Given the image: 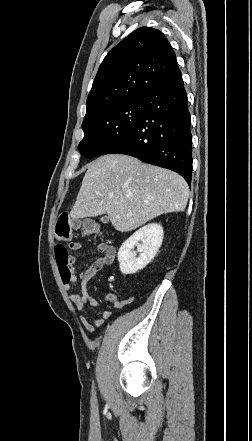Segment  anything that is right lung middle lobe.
Wrapping results in <instances>:
<instances>
[{
    "label": "right lung middle lobe",
    "instance_id": "obj_1",
    "mask_svg": "<svg viewBox=\"0 0 252 441\" xmlns=\"http://www.w3.org/2000/svg\"><path fill=\"white\" fill-rule=\"evenodd\" d=\"M143 109L142 100L135 99L84 119V138L79 143L80 153L87 158L103 155L135 127Z\"/></svg>",
    "mask_w": 252,
    "mask_h": 441
}]
</instances>
